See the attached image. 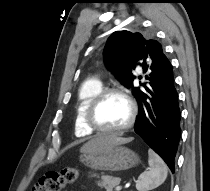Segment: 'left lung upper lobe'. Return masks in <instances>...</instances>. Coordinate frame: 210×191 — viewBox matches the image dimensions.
Masks as SVG:
<instances>
[{"label": "left lung upper lobe", "instance_id": "5c2ea615", "mask_svg": "<svg viewBox=\"0 0 210 191\" xmlns=\"http://www.w3.org/2000/svg\"><path fill=\"white\" fill-rule=\"evenodd\" d=\"M166 59L161 44L156 40H147L141 33L130 31H116L110 35L104 50V61L115 77L132 93L136 99L143 92L142 87H133L135 76L133 70L137 65L143 70L159 69L162 61ZM142 77H139L141 79ZM149 79L148 76L145 77Z\"/></svg>", "mask_w": 210, "mask_h": 191}]
</instances>
